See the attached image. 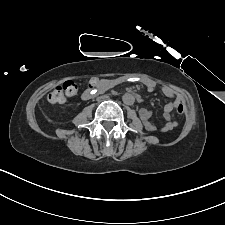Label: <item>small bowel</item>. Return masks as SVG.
<instances>
[{
    "mask_svg": "<svg viewBox=\"0 0 225 225\" xmlns=\"http://www.w3.org/2000/svg\"><path fill=\"white\" fill-rule=\"evenodd\" d=\"M94 78H91L90 82L93 81ZM113 84V81L109 80H104V83L98 84V85H92L90 83V87L85 93L83 94V99H89L90 96L94 93V90L96 88H106ZM147 90L149 92H152L155 90L156 85L152 83H148L147 85ZM162 92L165 96L169 97L172 99L169 103L166 104L163 110V120L164 124L160 128L162 132H168L172 130L174 127L177 126V121L174 118L173 111L176 109L177 105L181 104L180 97L169 87H162ZM139 116L142 119L144 126L147 130L149 131H154L157 129L156 124L153 120V114L150 110L146 108H141L139 110Z\"/></svg>",
    "mask_w": 225,
    "mask_h": 225,
    "instance_id": "small-bowel-1",
    "label": "small bowel"
}]
</instances>
